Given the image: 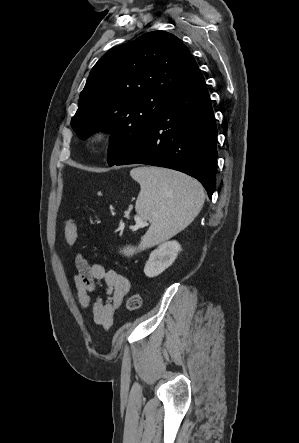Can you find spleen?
Listing matches in <instances>:
<instances>
[{
    "mask_svg": "<svg viewBox=\"0 0 299 443\" xmlns=\"http://www.w3.org/2000/svg\"><path fill=\"white\" fill-rule=\"evenodd\" d=\"M130 175L141 187L136 212L150 221V227L138 249H123L127 256L163 242L186 228L199 214L205 199L198 181L176 171L139 167L132 169Z\"/></svg>",
    "mask_w": 299,
    "mask_h": 443,
    "instance_id": "obj_1",
    "label": "spleen"
}]
</instances>
